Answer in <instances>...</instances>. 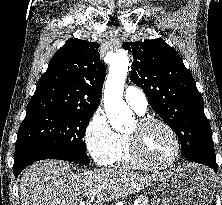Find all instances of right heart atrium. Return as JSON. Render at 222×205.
Wrapping results in <instances>:
<instances>
[{"label": "right heart atrium", "instance_id": "1", "mask_svg": "<svg viewBox=\"0 0 222 205\" xmlns=\"http://www.w3.org/2000/svg\"><path fill=\"white\" fill-rule=\"evenodd\" d=\"M85 143L94 161L106 165L114 152L118 134L113 130L105 114L98 110L85 129Z\"/></svg>", "mask_w": 222, "mask_h": 205}]
</instances>
